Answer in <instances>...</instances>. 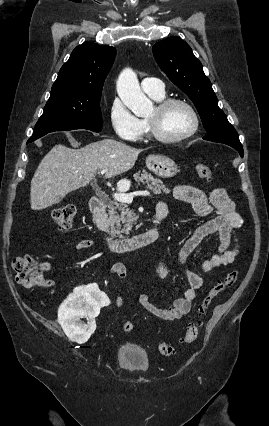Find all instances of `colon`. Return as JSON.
Here are the masks:
<instances>
[{
	"instance_id": "colon-1",
	"label": "colon",
	"mask_w": 269,
	"mask_h": 426,
	"mask_svg": "<svg viewBox=\"0 0 269 426\" xmlns=\"http://www.w3.org/2000/svg\"><path fill=\"white\" fill-rule=\"evenodd\" d=\"M196 172L198 176L205 181L209 182L213 178V173L207 164H198L196 166ZM75 215L76 209L72 204L62 205L54 209L52 212L53 220L61 232L68 231L73 226ZM13 269L15 271L16 281L23 286H43L45 282L42 263L38 262L32 256L25 255L16 257L13 261ZM238 276L239 273L237 270L230 271L222 281L216 283L206 293L203 300L197 307L195 321L188 326L183 338L181 339L182 344L188 345L196 341L199 334L201 320L208 307L219 294L235 285L238 280ZM133 328L134 325L131 321H125L123 323V330L125 332H131ZM157 351L161 355L171 356L175 353V347L166 342H159L157 344Z\"/></svg>"
}]
</instances>
